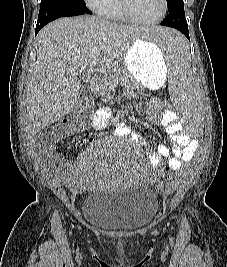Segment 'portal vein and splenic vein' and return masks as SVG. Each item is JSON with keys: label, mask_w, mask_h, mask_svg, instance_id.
<instances>
[{"label": "portal vein and splenic vein", "mask_w": 227, "mask_h": 267, "mask_svg": "<svg viewBox=\"0 0 227 267\" xmlns=\"http://www.w3.org/2000/svg\"><path fill=\"white\" fill-rule=\"evenodd\" d=\"M97 64H98V60H93V61H91L90 64H89L88 72H89V73L92 72L93 69H94V67H95Z\"/></svg>", "instance_id": "18ae733b"}]
</instances>
